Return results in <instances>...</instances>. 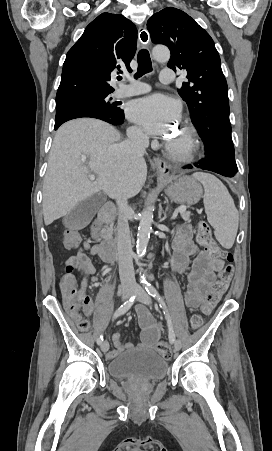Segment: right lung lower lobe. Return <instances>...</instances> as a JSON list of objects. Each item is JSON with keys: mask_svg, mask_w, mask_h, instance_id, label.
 Listing matches in <instances>:
<instances>
[{"mask_svg": "<svg viewBox=\"0 0 272 451\" xmlns=\"http://www.w3.org/2000/svg\"><path fill=\"white\" fill-rule=\"evenodd\" d=\"M82 117H91V118H97V119H101L104 120L106 122H109L113 125H120L124 122V114L120 117V119H112V118H108L105 116H101V115H97L94 113H89V112H79V113H74V114H70L62 119L56 120L55 123V127L54 129H58V127L63 124L64 122L71 120V119H75V118H82Z\"/></svg>", "mask_w": 272, "mask_h": 451, "instance_id": "1", "label": "right lung lower lobe"}]
</instances>
